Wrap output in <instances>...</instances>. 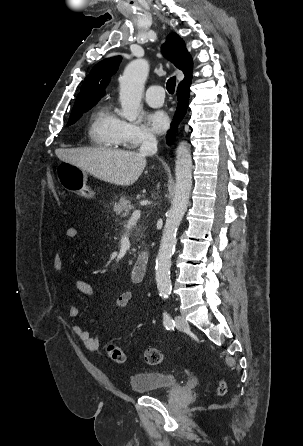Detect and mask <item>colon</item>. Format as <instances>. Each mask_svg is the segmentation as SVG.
I'll use <instances>...</instances> for the list:
<instances>
[{
    "label": "colon",
    "instance_id": "colon-1",
    "mask_svg": "<svg viewBox=\"0 0 303 446\" xmlns=\"http://www.w3.org/2000/svg\"><path fill=\"white\" fill-rule=\"evenodd\" d=\"M46 185L48 190L56 197H60V190L56 181L49 170L46 171ZM107 352L110 358L117 364L125 363L126 357L123 350L114 344L107 346ZM144 358L149 365H158L163 361V354L156 348H149L145 351ZM217 394L224 395L226 393V383L220 380L217 386Z\"/></svg>",
    "mask_w": 303,
    "mask_h": 446
}]
</instances>
